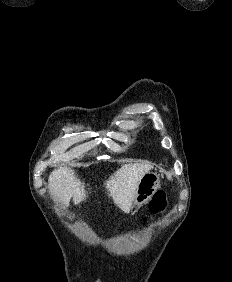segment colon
Listing matches in <instances>:
<instances>
[{
    "label": "colon",
    "instance_id": "5ec220e1",
    "mask_svg": "<svg viewBox=\"0 0 232 282\" xmlns=\"http://www.w3.org/2000/svg\"><path fill=\"white\" fill-rule=\"evenodd\" d=\"M167 206V195L163 190L157 191L151 202H150V212L152 215L159 214L165 210ZM149 217H147L148 219Z\"/></svg>",
    "mask_w": 232,
    "mask_h": 282
}]
</instances>
